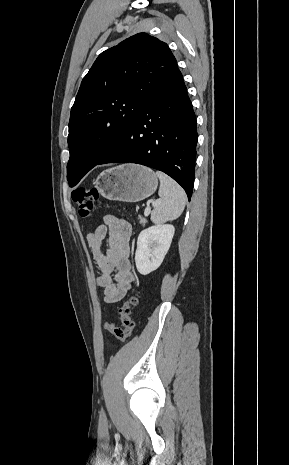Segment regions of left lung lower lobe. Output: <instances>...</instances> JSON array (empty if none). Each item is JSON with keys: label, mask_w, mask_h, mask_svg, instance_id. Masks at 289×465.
Segmentation results:
<instances>
[{"label": "left lung lower lobe", "mask_w": 289, "mask_h": 465, "mask_svg": "<svg viewBox=\"0 0 289 465\" xmlns=\"http://www.w3.org/2000/svg\"><path fill=\"white\" fill-rule=\"evenodd\" d=\"M196 117L176 70L144 99L116 145L97 163H137L168 174L190 200L195 174Z\"/></svg>", "instance_id": "left-lung-lower-lobe-1"}]
</instances>
